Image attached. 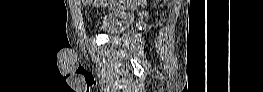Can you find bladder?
Instances as JSON below:
<instances>
[{"instance_id":"bladder-1","label":"bladder","mask_w":263,"mask_h":92,"mask_svg":"<svg viewBox=\"0 0 263 92\" xmlns=\"http://www.w3.org/2000/svg\"><path fill=\"white\" fill-rule=\"evenodd\" d=\"M134 21V13L126 10H112L103 20L102 31L108 35H117Z\"/></svg>"}]
</instances>
